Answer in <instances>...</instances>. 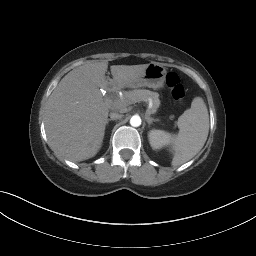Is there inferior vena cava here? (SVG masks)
<instances>
[{"label":"inferior vena cava","instance_id":"1","mask_svg":"<svg viewBox=\"0 0 256 256\" xmlns=\"http://www.w3.org/2000/svg\"><path fill=\"white\" fill-rule=\"evenodd\" d=\"M109 116L111 119L117 120V119H121L123 115L119 114L118 112H111Z\"/></svg>","mask_w":256,"mask_h":256}]
</instances>
